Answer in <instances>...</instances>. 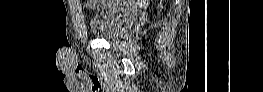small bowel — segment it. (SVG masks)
Masks as SVG:
<instances>
[{
	"instance_id": "c3829d8e",
	"label": "small bowel",
	"mask_w": 263,
	"mask_h": 92,
	"mask_svg": "<svg viewBox=\"0 0 263 92\" xmlns=\"http://www.w3.org/2000/svg\"><path fill=\"white\" fill-rule=\"evenodd\" d=\"M89 3H90V5L91 4H93V5L100 4L99 1H89ZM111 6L114 7V8H119V4L118 3L117 4H112Z\"/></svg>"
}]
</instances>
